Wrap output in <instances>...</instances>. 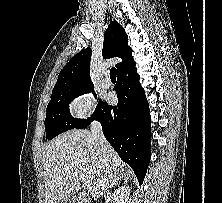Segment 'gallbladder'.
Here are the masks:
<instances>
[{"label": "gallbladder", "mask_w": 222, "mask_h": 203, "mask_svg": "<svg viewBox=\"0 0 222 203\" xmlns=\"http://www.w3.org/2000/svg\"><path fill=\"white\" fill-rule=\"evenodd\" d=\"M61 203H79V202H78V198L74 197V198L64 199L63 201H61Z\"/></svg>", "instance_id": "obj_1"}]
</instances>
